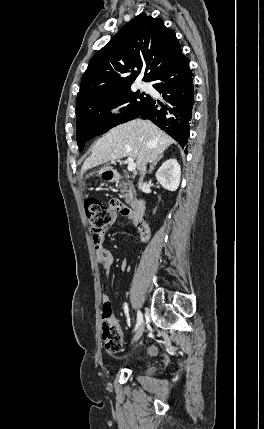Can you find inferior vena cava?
<instances>
[{
  "label": "inferior vena cava",
  "instance_id": "inferior-vena-cava-1",
  "mask_svg": "<svg viewBox=\"0 0 264 429\" xmlns=\"http://www.w3.org/2000/svg\"><path fill=\"white\" fill-rule=\"evenodd\" d=\"M146 167H144L143 168V170H142V172H141V177H140V180H139V187L141 188V186H142V184H143V177H144V175L146 174Z\"/></svg>",
  "mask_w": 264,
  "mask_h": 429
}]
</instances>
